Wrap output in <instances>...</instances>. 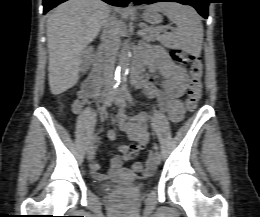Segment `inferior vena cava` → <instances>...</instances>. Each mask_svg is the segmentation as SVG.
<instances>
[{"mask_svg":"<svg viewBox=\"0 0 260 217\" xmlns=\"http://www.w3.org/2000/svg\"><path fill=\"white\" fill-rule=\"evenodd\" d=\"M122 27L123 22L118 20L115 16H110L103 25L102 39L105 45L103 80L106 86H112L115 83V54L119 46Z\"/></svg>","mask_w":260,"mask_h":217,"instance_id":"602c4592","label":"inferior vena cava"}]
</instances>
